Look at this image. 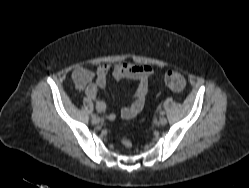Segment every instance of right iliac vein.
<instances>
[{
	"label": "right iliac vein",
	"mask_w": 249,
	"mask_h": 188,
	"mask_svg": "<svg viewBox=\"0 0 249 188\" xmlns=\"http://www.w3.org/2000/svg\"><path fill=\"white\" fill-rule=\"evenodd\" d=\"M92 123L93 124H99L100 123V118L99 117L92 118Z\"/></svg>",
	"instance_id": "obj_1"
}]
</instances>
